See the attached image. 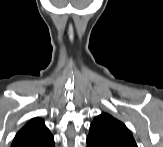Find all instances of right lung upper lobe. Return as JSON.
Wrapping results in <instances>:
<instances>
[{
	"label": "right lung upper lobe",
	"mask_w": 163,
	"mask_h": 147,
	"mask_svg": "<svg viewBox=\"0 0 163 147\" xmlns=\"http://www.w3.org/2000/svg\"><path fill=\"white\" fill-rule=\"evenodd\" d=\"M52 137V134L44 124L43 119H32L16 134L13 143L25 140H41Z\"/></svg>",
	"instance_id": "right-lung-upper-lobe-1"
}]
</instances>
